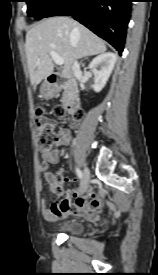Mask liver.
Instances as JSON below:
<instances>
[{
	"label": "liver",
	"instance_id": "obj_1",
	"mask_svg": "<svg viewBox=\"0 0 158 275\" xmlns=\"http://www.w3.org/2000/svg\"><path fill=\"white\" fill-rule=\"evenodd\" d=\"M105 43L85 26L68 17L42 20L26 34L25 52L33 89L53 73L50 51L64 60L65 76H70L76 59L102 54Z\"/></svg>",
	"mask_w": 158,
	"mask_h": 275
}]
</instances>
